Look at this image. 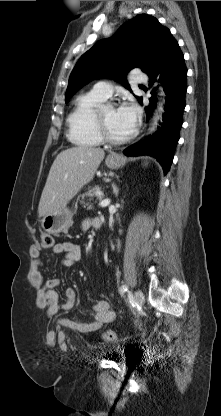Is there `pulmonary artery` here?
Wrapping results in <instances>:
<instances>
[{"label":"pulmonary artery","instance_id":"e3ab8cb5","mask_svg":"<svg viewBox=\"0 0 221 416\" xmlns=\"http://www.w3.org/2000/svg\"><path fill=\"white\" fill-rule=\"evenodd\" d=\"M132 79L135 83H144L147 82V75L143 74L140 70L134 69L131 70ZM92 91L101 97L107 99L112 95L113 86L107 81H100L94 84Z\"/></svg>","mask_w":221,"mask_h":416}]
</instances>
